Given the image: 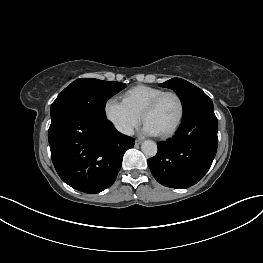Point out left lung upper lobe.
<instances>
[{"label":"left lung upper lobe","mask_w":263,"mask_h":263,"mask_svg":"<svg viewBox=\"0 0 263 263\" xmlns=\"http://www.w3.org/2000/svg\"><path fill=\"white\" fill-rule=\"evenodd\" d=\"M160 86L174 90L180 97L184 108L183 121L201 112L214 111L212 100L201 89L183 79L173 78Z\"/></svg>","instance_id":"5c2ea615"}]
</instances>
